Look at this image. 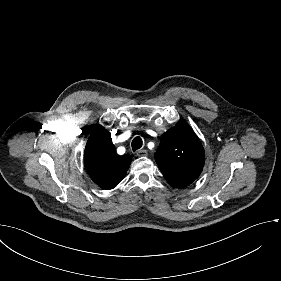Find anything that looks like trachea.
Returning a JSON list of instances; mask_svg holds the SVG:
<instances>
[{
  "mask_svg": "<svg viewBox=\"0 0 281 281\" xmlns=\"http://www.w3.org/2000/svg\"><path fill=\"white\" fill-rule=\"evenodd\" d=\"M142 144H143L142 139L139 136L135 137L131 143L132 150L136 151L140 149L142 147Z\"/></svg>",
  "mask_w": 281,
  "mask_h": 281,
  "instance_id": "obj_1",
  "label": "trachea"
}]
</instances>
